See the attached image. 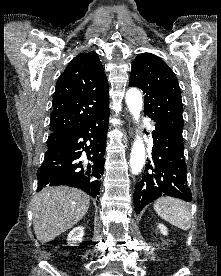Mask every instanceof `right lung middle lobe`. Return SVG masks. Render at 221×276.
Instances as JSON below:
<instances>
[{"label":"right lung middle lobe","instance_id":"1","mask_svg":"<svg viewBox=\"0 0 221 276\" xmlns=\"http://www.w3.org/2000/svg\"><path fill=\"white\" fill-rule=\"evenodd\" d=\"M64 140H65V137H49L47 141V147L51 148V147L57 146Z\"/></svg>","mask_w":221,"mask_h":276}]
</instances>
